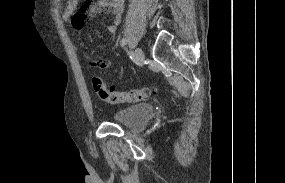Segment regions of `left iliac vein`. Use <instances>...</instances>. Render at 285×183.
Masks as SVG:
<instances>
[{"mask_svg":"<svg viewBox=\"0 0 285 183\" xmlns=\"http://www.w3.org/2000/svg\"><path fill=\"white\" fill-rule=\"evenodd\" d=\"M134 56L139 63L144 61V52L140 47L135 49Z\"/></svg>","mask_w":285,"mask_h":183,"instance_id":"1","label":"left iliac vein"}]
</instances>
